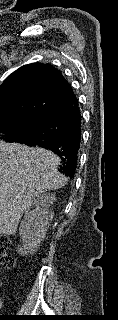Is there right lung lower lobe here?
<instances>
[{
	"label": "right lung lower lobe",
	"instance_id": "1",
	"mask_svg": "<svg viewBox=\"0 0 118 320\" xmlns=\"http://www.w3.org/2000/svg\"><path fill=\"white\" fill-rule=\"evenodd\" d=\"M80 141L81 112L77 98L74 97L58 106L39 131L17 142L51 150L63 161L60 171L72 178L76 170Z\"/></svg>",
	"mask_w": 118,
	"mask_h": 320
}]
</instances>
